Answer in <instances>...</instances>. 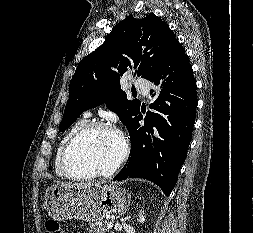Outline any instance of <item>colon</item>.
<instances>
[{"label":"colon","instance_id":"5ec220e1","mask_svg":"<svg viewBox=\"0 0 253 233\" xmlns=\"http://www.w3.org/2000/svg\"><path fill=\"white\" fill-rule=\"evenodd\" d=\"M45 233H64V231L57 221L47 220L45 223Z\"/></svg>","mask_w":253,"mask_h":233}]
</instances>
